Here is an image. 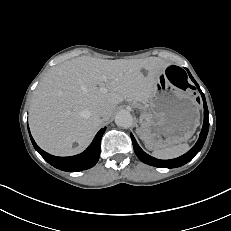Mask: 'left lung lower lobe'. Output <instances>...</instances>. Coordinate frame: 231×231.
Masks as SVG:
<instances>
[{"instance_id":"obj_1","label":"left lung lower lobe","mask_w":231,"mask_h":231,"mask_svg":"<svg viewBox=\"0 0 231 231\" xmlns=\"http://www.w3.org/2000/svg\"><path fill=\"white\" fill-rule=\"evenodd\" d=\"M190 78L192 79V81L195 83V85L197 86L199 92L201 93L202 99H203V104H204V122H203V127L199 136V139L197 141V143L184 155L175 158V159H171V160H160V159H156L152 156H149L148 154H146L137 144L134 136L132 134L131 135V139L133 142V148L134 151L137 155V157L144 163L151 165V166H155V167H162V168H176V167H180L183 166L184 164H186L187 162H189L203 147V144L206 140L207 134H208V129H209V118H208V108H207V104H206V100H205V96L202 93V91L200 90L198 84L196 83V81L193 79V77L190 75Z\"/></svg>"}]
</instances>
